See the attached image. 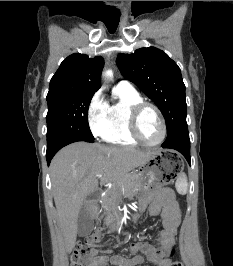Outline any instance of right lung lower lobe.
Returning <instances> with one entry per match:
<instances>
[{
	"label": "right lung lower lobe",
	"mask_w": 233,
	"mask_h": 266,
	"mask_svg": "<svg viewBox=\"0 0 233 266\" xmlns=\"http://www.w3.org/2000/svg\"><path fill=\"white\" fill-rule=\"evenodd\" d=\"M76 141H86V142H93V140H91V139H87V138H79V139H76V140H73V141H71V142H68V143H65V144H62V145H60V146H58V147H56V148H54V149H52V150H47V152H46V160H47V163H48V165L50 164V161H51V159L53 158V156L62 148V147H64V146H66V145H68V144H70V143H73V142H76Z\"/></svg>",
	"instance_id": "obj_1"
}]
</instances>
